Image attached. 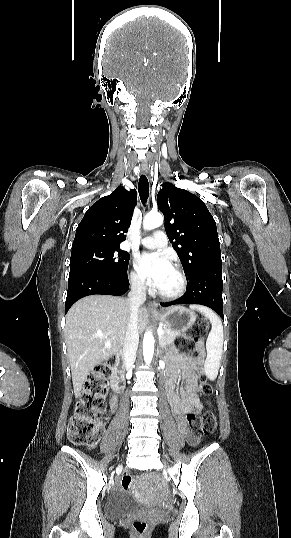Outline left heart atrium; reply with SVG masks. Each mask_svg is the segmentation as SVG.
I'll return each mask as SVG.
<instances>
[{
    "label": "left heart atrium",
    "instance_id": "1",
    "mask_svg": "<svg viewBox=\"0 0 291 538\" xmlns=\"http://www.w3.org/2000/svg\"><path fill=\"white\" fill-rule=\"evenodd\" d=\"M136 268L143 279L151 285L159 287L172 266L165 255L147 252L138 256Z\"/></svg>",
    "mask_w": 291,
    "mask_h": 538
}]
</instances>
